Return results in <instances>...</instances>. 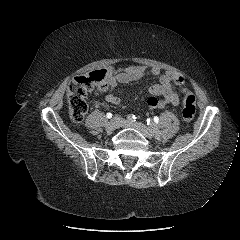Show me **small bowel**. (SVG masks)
Wrapping results in <instances>:
<instances>
[{
  "label": "small bowel",
  "mask_w": 240,
  "mask_h": 240,
  "mask_svg": "<svg viewBox=\"0 0 240 240\" xmlns=\"http://www.w3.org/2000/svg\"><path fill=\"white\" fill-rule=\"evenodd\" d=\"M107 72L106 100L112 104H118L120 98L114 93V89L120 83H127L138 80L146 76L159 77V84L149 87V98L147 104L150 109H160L167 105L177 106L179 97L173 90V85H180L183 82L181 74L165 71L161 73L157 67H147L143 65H134L127 68H115L109 66ZM161 96V99L158 97Z\"/></svg>",
  "instance_id": "obj_1"
}]
</instances>
